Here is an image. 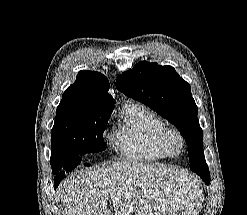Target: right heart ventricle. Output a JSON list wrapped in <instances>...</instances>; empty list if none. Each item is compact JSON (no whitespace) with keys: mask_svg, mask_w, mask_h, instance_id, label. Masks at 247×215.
I'll list each match as a JSON object with an SVG mask.
<instances>
[{"mask_svg":"<svg viewBox=\"0 0 247 215\" xmlns=\"http://www.w3.org/2000/svg\"><path fill=\"white\" fill-rule=\"evenodd\" d=\"M165 126L153 111L137 103L127 104L111 142L126 160L145 163L159 161L170 157L159 143L160 132Z\"/></svg>","mask_w":247,"mask_h":215,"instance_id":"1","label":"right heart ventricle"}]
</instances>
